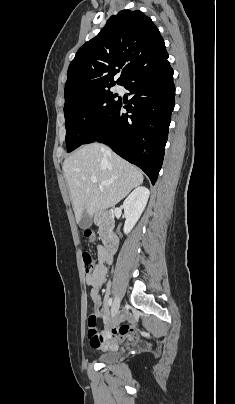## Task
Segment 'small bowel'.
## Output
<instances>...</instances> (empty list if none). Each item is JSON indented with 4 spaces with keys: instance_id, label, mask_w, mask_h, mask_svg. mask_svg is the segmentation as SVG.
I'll use <instances>...</instances> for the list:
<instances>
[{
    "instance_id": "small-bowel-1",
    "label": "small bowel",
    "mask_w": 235,
    "mask_h": 404,
    "mask_svg": "<svg viewBox=\"0 0 235 404\" xmlns=\"http://www.w3.org/2000/svg\"><path fill=\"white\" fill-rule=\"evenodd\" d=\"M98 263L94 269L87 273L85 280L90 286L89 295L93 301V308L97 316L103 323L104 329L101 332L92 333L88 329L89 343L95 349H114L121 342L125 341L130 336L136 334L137 327L129 323H120V320L133 321V314L129 310H123L118 319L113 320L106 307L103 306L100 297V289L107 281L108 268L107 265L113 261V255L103 245L97 246Z\"/></svg>"
}]
</instances>
